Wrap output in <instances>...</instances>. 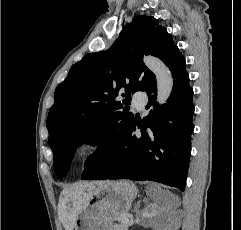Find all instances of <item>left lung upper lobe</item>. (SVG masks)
<instances>
[{"mask_svg": "<svg viewBox=\"0 0 241 230\" xmlns=\"http://www.w3.org/2000/svg\"><path fill=\"white\" fill-rule=\"evenodd\" d=\"M144 54L169 67L180 52L166 28L143 15L126 25L108 50L89 53L73 65L56 88L46 125L59 178L68 172L77 146L113 141L133 123L126 106L131 94L156 82L142 61ZM119 92L125 100L116 99Z\"/></svg>", "mask_w": 241, "mask_h": 230, "instance_id": "left-lung-upper-lobe-1", "label": "left lung upper lobe"}]
</instances>
